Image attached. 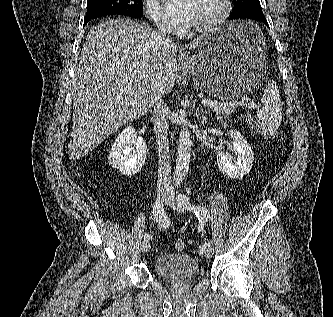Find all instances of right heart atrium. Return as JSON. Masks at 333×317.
Segmentation results:
<instances>
[{"label":"right heart atrium","instance_id":"right-heart-atrium-1","mask_svg":"<svg viewBox=\"0 0 333 317\" xmlns=\"http://www.w3.org/2000/svg\"><path fill=\"white\" fill-rule=\"evenodd\" d=\"M145 11L148 17L160 29L170 32L178 30L177 26L163 14L157 0H146Z\"/></svg>","mask_w":333,"mask_h":317}]
</instances>
